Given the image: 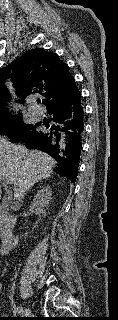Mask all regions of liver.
Masks as SVG:
<instances>
[{
  "label": "liver",
  "instance_id": "1",
  "mask_svg": "<svg viewBox=\"0 0 118 320\" xmlns=\"http://www.w3.org/2000/svg\"><path fill=\"white\" fill-rule=\"evenodd\" d=\"M55 165L56 161L48 154L30 151L0 136V180L13 182L15 200L21 201L36 182L50 177ZM1 194L0 186V197Z\"/></svg>",
  "mask_w": 118,
  "mask_h": 320
}]
</instances>
